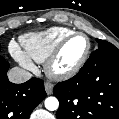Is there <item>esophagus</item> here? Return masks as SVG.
<instances>
[{
    "mask_svg": "<svg viewBox=\"0 0 119 119\" xmlns=\"http://www.w3.org/2000/svg\"><path fill=\"white\" fill-rule=\"evenodd\" d=\"M44 87H45L46 93H47L48 95L52 94V92H53V87H54L52 83H50V82H45Z\"/></svg>",
    "mask_w": 119,
    "mask_h": 119,
    "instance_id": "34e87169",
    "label": "esophagus"
}]
</instances>
